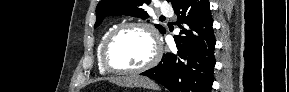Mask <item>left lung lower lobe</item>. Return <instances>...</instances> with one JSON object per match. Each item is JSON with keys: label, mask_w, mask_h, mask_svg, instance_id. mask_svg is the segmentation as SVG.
I'll return each mask as SVG.
<instances>
[{"label": "left lung lower lobe", "mask_w": 289, "mask_h": 92, "mask_svg": "<svg viewBox=\"0 0 289 92\" xmlns=\"http://www.w3.org/2000/svg\"><path fill=\"white\" fill-rule=\"evenodd\" d=\"M172 7L182 29L174 36L176 48L141 75L156 80L171 92H211L216 40L209 1L175 0Z\"/></svg>", "instance_id": "0a47b994"}]
</instances>
